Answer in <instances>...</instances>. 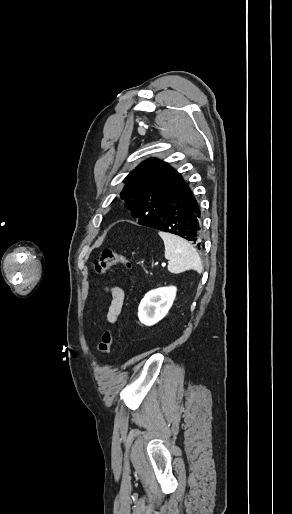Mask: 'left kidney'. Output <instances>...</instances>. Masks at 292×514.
Here are the masks:
<instances>
[{"mask_svg":"<svg viewBox=\"0 0 292 514\" xmlns=\"http://www.w3.org/2000/svg\"><path fill=\"white\" fill-rule=\"evenodd\" d=\"M175 286L157 288L145 294L138 308V318L145 326H153L168 314L176 296Z\"/></svg>","mask_w":292,"mask_h":514,"instance_id":"1","label":"left kidney"}]
</instances>
